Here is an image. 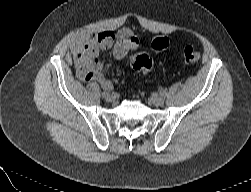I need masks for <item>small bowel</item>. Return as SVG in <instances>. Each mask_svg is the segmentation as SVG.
I'll list each match as a JSON object with an SVG mask.
<instances>
[{"label": "small bowel", "instance_id": "c3829d8e", "mask_svg": "<svg viewBox=\"0 0 251 192\" xmlns=\"http://www.w3.org/2000/svg\"><path fill=\"white\" fill-rule=\"evenodd\" d=\"M138 40L127 29H122L116 34L106 30L92 35L77 44L75 51L76 74L84 82L97 81L102 88L110 90L112 82L106 78V67L97 59L100 50L112 48L117 59H123L130 50L136 48Z\"/></svg>", "mask_w": 251, "mask_h": 192}]
</instances>
